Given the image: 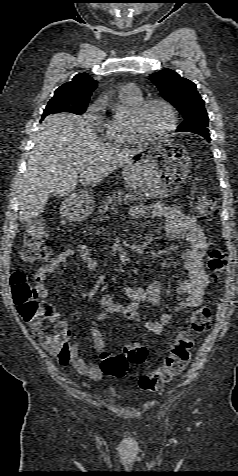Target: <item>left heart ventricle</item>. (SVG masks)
<instances>
[{"label":"left heart ventricle","instance_id":"b2bd125f","mask_svg":"<svg viewBox=\"0 0 238 476\" xmlns=\"http://www.w3.org/2000/svg\"><path fill=\"white\" fill-rule=\"evenodd\" d=\"M170 116L161 104L150 105L141 117V127L151 135L160 134L169 125Z\"/></svg>","mask_w":238,"mask_h":476}]
</instances>
